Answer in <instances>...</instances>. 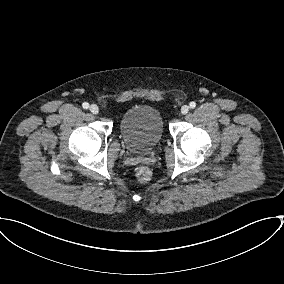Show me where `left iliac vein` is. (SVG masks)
Here are the masks:
<instances>
[{
    "label": "left iliac vein",
    "instance_id": "4c4485c4",
    "mask_svg": "<svg viewBox=\"0 0 284 284\" xmlns=\"http://www.w3.org/2000/svg\"><path fill=\"white\" fill-rule=\"evenodd\" d=\"M189 106L188 105H183L182 107H181V113L183 114V115H185V114H187L188 112H189Z\"/></svg>",
    "mask_w": 284,
    "mask_h": 284
}]
</instances>
